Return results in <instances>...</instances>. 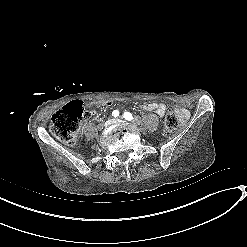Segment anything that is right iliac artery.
<instances>
[{"label":"right iliac artery","instance_id":"82829eb1","mask_svg":"<svg viewBox=\"0 0 247 247\" xmlns=\"http://www.w3.org/2000/svg\"><path fill=\"white\" fill-rule=\"evenodd\" d=\"M112 116H113V117H118V116H119V111H118V110H114V111L112 112Z\"/></svg>","mask_w":247,"mask_h":247}]
</instances>
